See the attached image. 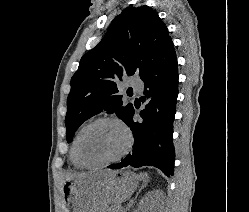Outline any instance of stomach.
I'll list each match as a JSON object with an SVG mask.
<instances>
[{"label": "stomach", "mask_w": 249, "mask_h": 212, "mask_svg": "<svg viewBox=\"0 0 249 212\" xmlns=\"http://www.w3.org/2000/svg\"><path fill=\"white\" fill-rule=\"evenodd\" d=\"M128 170H87L62 184L69 212H103V204H123L127 193H134Z\"/></svg>", "instance_id": "1"}]
</instances>
